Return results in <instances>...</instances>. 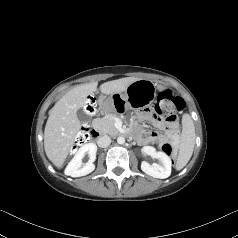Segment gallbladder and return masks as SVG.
<instances>
[{"mask_svg": "<svg viewBox=\"0 0 238 238\" xmlns=\"http://www.w3.org/2000/svg\"><path fill=\"white\" fill-rule=\"evenodd\" d=\"M77 117L81 122H87L89 120V115L83 109L77 111Z\"/></svg>", "mask_w": 238, "mask_h": 238, "instance_id": "bac80fb5", "label": "gallbladder"}]
</instances>
